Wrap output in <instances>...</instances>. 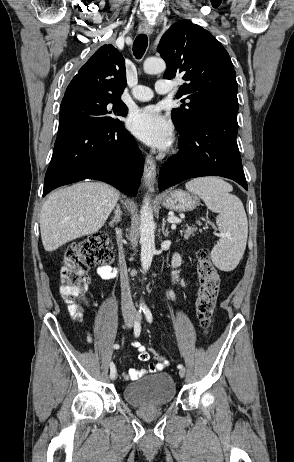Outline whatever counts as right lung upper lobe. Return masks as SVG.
Here are the masks:
<instances>
[{
  "label": "right lung upper lobe",
  "instance_id": "cb5924a9",
  "mask_svg": "<svg viewBox=\"0 0 294 462\" xmlns=\"http://www.w3.org/2000/svg\"><path fill=\"white\" fill-rule=\"evenodd\" d=\"M126 84L123 56L114 46L106 44L81 67L68 85L63 98L79 94L119 98Z\"/></svg>",
  "mask_w": 294,
  "mask_h": 462
}]
</instances>
